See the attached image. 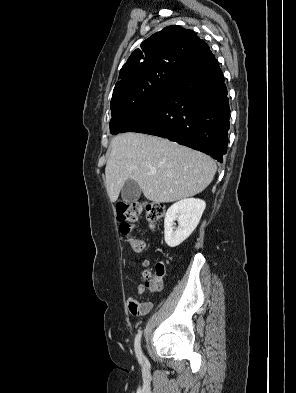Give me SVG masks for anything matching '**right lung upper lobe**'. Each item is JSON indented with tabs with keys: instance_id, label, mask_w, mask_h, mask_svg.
Segmentation results:
<instances>
[{
	"instance_id": "right-lung-upper-lobe-1",
	"label": "right lung upper lobe",
	"mask_w": 296,
	"mask_h": 393,
	"mask_svg": "<svg viewBox=\"0 0 296 393\" xmlns=\"http://www.w3.org/2000/svg\"><path fill=\"white\" fill-rule=\"evenodd\" d=\"M209 46L194 31L171 25L141 43L122 66L111 104L140 94L156 78H176L203 58Z\"/></svg>"
}]
</instances>
